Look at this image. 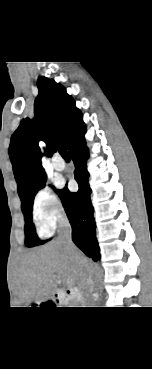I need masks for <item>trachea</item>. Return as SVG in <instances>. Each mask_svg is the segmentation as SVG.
Instances as JSON below:
<instances>
[{
    "label": "trachea",
    "mask_w": 152,
    "mask_h": 369,
    "mask_svg": "<svg viewBox=\"0 0 152 369\" xmlns=\"http://www.w3.org/2000/svg\"><path fill=\"white\" fill-rule=\"evenodd\" d=\"M59 153L61 154V156L64 158V159H69V155H68V152L65 148V146H61L60 149H59Z\"/></svg>",
    "instance_id": "obj_1"
}]
</instances>
